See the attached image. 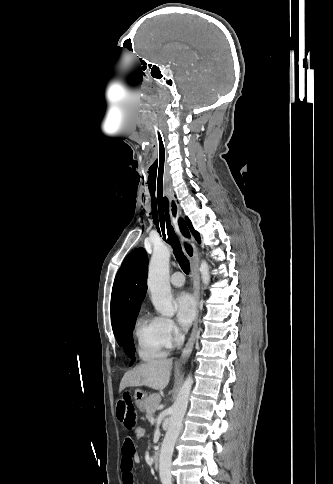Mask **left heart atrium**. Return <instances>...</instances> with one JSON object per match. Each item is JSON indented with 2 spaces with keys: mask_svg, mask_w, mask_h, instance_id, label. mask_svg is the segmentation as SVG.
I'll return each mask as SVG.
<instances>
[{
  "mask_svg": "<svg viewBox=\"0 0 333 484\" xmlns=\"http://www.w3.org/2000/svg\"><path fill=\"white\" fill-rule=\"evenodd\" d=\"M176 318L182 327H188L196 314V302L191 294L179 292L174 298Z\"/></svg>",
  "mask_w": 333,
  "mask_h": 484,
  "instance_id": "1",
  "label": "left heart atrium"
}]
</instances>
